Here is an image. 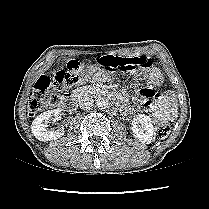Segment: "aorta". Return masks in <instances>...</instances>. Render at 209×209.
I'll return each instance as SVG.
<instances>
[{
    "instance_id": "1",
    "label": "aorta",
    "mask_w": 209,
    "mask_h": 209,
    "mask_svg": "<svg viewBox=\"0 0 209 209\" xmlns=\"http://www.w3.org/2000/svg\"><path fill=\"white\" fill-rule=\"evenodd\" d=\"M96 105L98 106L99 109H106L109 107V101L104 97H98L96 99Z\"/></svg>"
}]
</instances>
